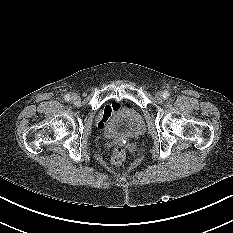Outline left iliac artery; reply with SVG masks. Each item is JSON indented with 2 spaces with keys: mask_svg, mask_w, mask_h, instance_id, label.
Segmentation results:
<instances>
[{
  "mask_svg": "<svg viewBox=\"0 0 233 233\" xmlns=\"http://www.w3.org/2000/svg\"><path fill=\"white\" fill-rule=\"evenodd\" d=\"M170 96V93L168 91H164L163 97L168 98Z\"/></svg>",
  "mask_w": 233,
  "mask_h": 233,
  "instance_id": "left-iliac-artery-1",
  "label": "left iliac artery"
}]
</instances>
